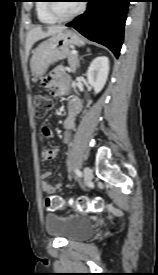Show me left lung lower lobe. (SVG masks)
<instances>
[{"instance_id":"left-lung-lower-lobe-1","label":"left lung lower lobe","mask_w":158,"mask_h":275,"mask_svg":"<svg viewBox=\"0 0 158 275\" xmlns=\"http://www.w3.org/2000/svg\"><path fill=\"white\" fill-rule=\"evenodd\" d=\"M129 2L130 0H89L87 11L67 26L108 47L118 57Z\"/></svg>"}]
</instances>
